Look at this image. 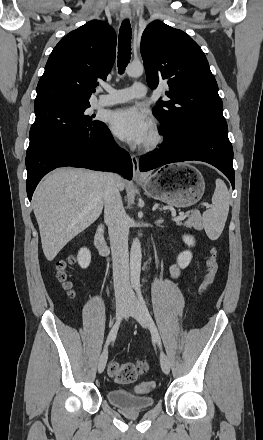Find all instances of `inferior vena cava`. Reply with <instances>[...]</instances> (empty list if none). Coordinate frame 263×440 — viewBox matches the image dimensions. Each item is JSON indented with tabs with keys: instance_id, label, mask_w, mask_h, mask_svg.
Listing matches in <instances>:
<instances>
[{
	"instance_id": "inferior-vena-cava-1",
	"label": "inferior vena cava",
	"mask_w": 263,
	"mask_h": 440,
	"mask_svg": "<svg viewBox=\"0 0 263 440\" xmlns=\"http://www.w3.org/2000/svg\"><path fill=\"white\" fill-rule=\"evenodd\" d=\"M116 174H108V187L104 196V220L108 225L113 259V280L117 300L131 295L129 282L128 226Z\"/></svg>"
}]
</instances>
